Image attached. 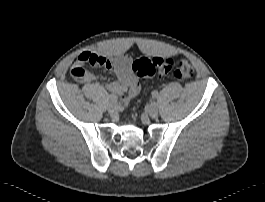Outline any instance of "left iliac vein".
Masks as SVG:
<instances>
[{"label": "left iliac vein", "instance_id": "left-iliac-vein-1", "mask_svg": "<svg viewBox=\"0 0 265 202\" xmlns=\"http://www.w3.org/2000/svg\"><path fill=\"white\" fill-rule=\"evenodd\" d=\"M148 114L150 117L155 118L158 116V106L156 103H151L148 106Z\"/></svg>", "mask_w": 265, "mask_h": 202}]
</instances>
